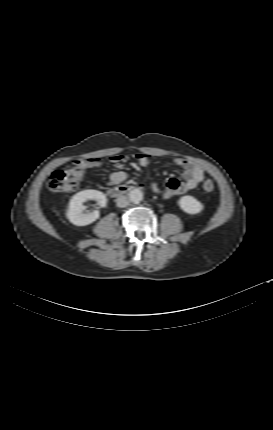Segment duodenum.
I'll use <instances>...</instances> for the list:
<instances>
[{
	"label": "duodenum",
	"mask_w": 273,
	"mask_h": 430,
	"mask_svg": "<svg viewBox=\"0 0 273 430\" xmlns=\"http://www.w3.org/2000/svg\"><path fill=\"white\" fill-rule=\"evenodd\" d=\"M135 189L134 186L128 184H121L109 189V194L112 197H119L132 192Z\"/></svg>",
	"instance_id": "1"
}]
</instances>
